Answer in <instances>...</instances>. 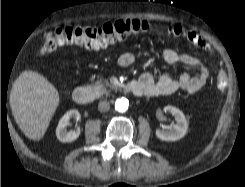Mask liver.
<instances>
[{
  "instance_id": "liver-1",
  "label": "liver",
  "mask_w": 245,
  "mask_h": 187,
  "mask_svg": "<svg viewBox=\"0 0 245 187\" xmlns=\"http://www.w3.org/2000/svg\"><path fill=\"white\" fill-rule=\"evenodd\" d=\"M60 102L58 90L44 76L24 71L15 80L10 105L14 119L26 137L43 138Z\"/></svg>"
}]
</instances>
